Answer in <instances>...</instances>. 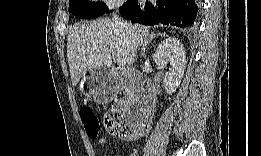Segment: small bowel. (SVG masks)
<instances>
[{
  "mask_svg": "<svg viewBox=\"0 0 261 156\" xmlns=\"http://www.w3.org/2000/svg\"><path fill=\"white\" fill-rule=\"evenodd\" d=\"M107 143H108V140H107V138H105V137H101V138L98 139V144H99L100 146H106Z\"/></svg>",
  "mask_w": 261,
  "mask_h": 156,
  "instance_id": "obj_1",
  "label": "small bowel"
}]
</instances>
